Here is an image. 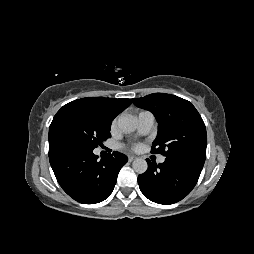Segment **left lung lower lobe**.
Listing matches in <instances>:
<instances>
[{
    "label": "left lung lower lobe",
    "instance_id": "1",
    "mask_svg": "<svg viewBox=\"0 0 254 254\" xmlns=\"http://www.w3.org/2000/svg\"><path fill=\"white\" fill-rule=\"evenodd\" d=\"M148 170L138 176L141 192L149 200L170 205L182 200L196 185L205 160L193 156L166 157L158 165L147 159Z\"/></svg>",
    "mask_w": 254,
    "mask_h": 254
}]
</instances>
